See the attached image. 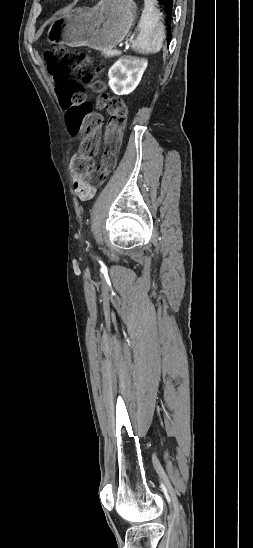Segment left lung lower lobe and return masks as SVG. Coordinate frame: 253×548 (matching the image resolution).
<instances>
[{
    "label": "left lung lower lobe",
    "instance_id": "left-lung-lower-lobe-1",
    "mask_svg": "<svg viewBox=\"0 0 253 548\" xmlns=\"http://www.w3.org/2000/svg\"><path fill=\"white\" fill-rule=\"evenodd\" d=\"M163 7L168 19H171L174 7V0H158ZM170 25V23H169ZM171 40V34L168 36V41Z\"/></svg>",
    "mask_w": 253,
    "mask_h": 548
}]
</instances>
